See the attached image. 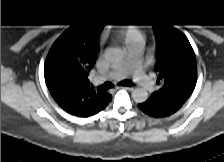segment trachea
Masks as SVG:
<instances>
[{
    "instance_id": "obj_1",
    "label": "trachea",
    "mask_w": 224,
    "mask_h": 162,
    "mask_svg": "<svg viewBox=\"0 0 224 162\" xmlns=\"http://www.w3.org/2000/svg\"><path fill=\"white\" fill-rule=\"evenodd\" d=\"M132 84L133 83L129 80H124V81L119 83V85H121V86H131ZM113 86L114 85L111 82H105L99 88L103 89V90H108V89L112 88Z\"/></svg>"
}]
</instances>
